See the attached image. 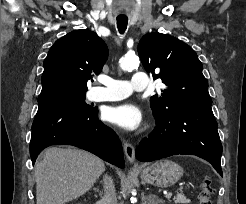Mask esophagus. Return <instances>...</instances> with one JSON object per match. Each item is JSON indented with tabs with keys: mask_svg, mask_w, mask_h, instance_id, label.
Returning <instances> with one entry per match:
<instances>
[{
	"mask_svg": "<svg viewBox=\"0 0 246 204\" xmlns=\"http://www.w3.org/2000/svg\"><path fill=\"white\" fill-rule=\"evenodd\" d=\"M123 147H124V152H125L127 160L130 163L137 166V163L135 162V148H134V146L131 143L125 141L123 144Z\"/></svg>",
	"mask_w": 246,
	"mask_h": 204,
	"instance_id": "1",
	"label": "esophagus"
}]
</instances>
